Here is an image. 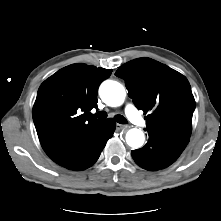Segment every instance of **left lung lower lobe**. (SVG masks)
I'll list each match as a JSON object with an SVG mask.
<instances>
[{"mask_svg":"<svg viewBox=\"0 0 221 221\" xmlns=\"http://www.w3.org/2000/svg\"><path fill=\"white\" fill-rule=\"evenodd\" d=\"M181 153L182 150L154 137H149L147 144L141 149L131 151L136 164L149 171L168 167Z\"/></svg>","mask_w":221,"mask_h":221,"instance_id":"obj_1","label":"left lung lower lobe"}]
</instances>
